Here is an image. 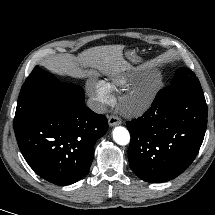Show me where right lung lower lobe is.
<instances>
[{"label": "right lung lower lobe", "mask_w": 215, "mask_h": 215, "mask_svg": "<svg viewBox=\"0 0 215 215\" xmlns=\"http://www.w3.org/2000/svg\"><path fill=\"white\" fill-rule=\"evenodd\" d=\"M107 129L106 117L86 107L83 89L63 83L14 131L23 157L40 177L69 185L88 173L95 142Z\"/></svg>", "instance_id": "1"}]
</instances>
